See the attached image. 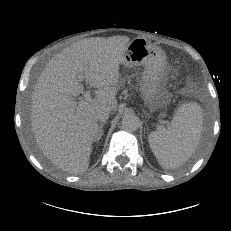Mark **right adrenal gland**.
Returning a JSON list of instances; mask_svg holds the SVG:
<instances>
[{
  "instance_id": "1",
  "label": "right adrenal gland",
  "mask_w": 231,
  "mask_h": 231,
  "mask_svg": "<svg viewBox=\"0 0 231 231\" xmlns=\"http://www.w3.org/2000/svg\"><path fill=\"white\" fill-rule=\"evenodd\" d=\"M105 124H106V122H103V123H101V124L99 125L98 133H97V135H96V137H95V141L98 142V141L101 139V137H102V135H103V133H104L103 127H104Z\"/></svg>"
}]
</instances>
